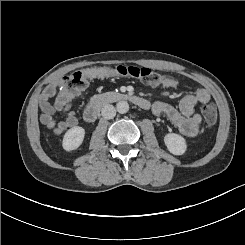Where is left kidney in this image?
<instances>
[{
	"mask_svg": "<svg viewBox=\"0 0 245 245\" xmlns=\"http://www.w3.org/2000/svg\"><path fill=\"white\" fill-rule=\"evenodd\" d=\"M164 142L169 152L174 155H182L186 151L187 145L185 139L181 135L169 133L165 135Z\"/></svg>",
	"mask_w": 245,
	"mask_h": 245,
	"instance_id": "1",
	"label": "left kidney"
}]
</instances>
